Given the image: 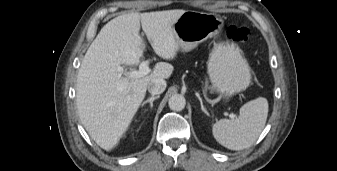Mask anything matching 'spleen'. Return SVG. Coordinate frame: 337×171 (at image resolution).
<instances>
[{
	"instance_id": "spleen-1",
	"label": "spleen",
	"mask_w": 337,
	"mask_h": 171,
	"mask_svg": "<svg viewBox=\"0 0 337 171\" xmlns=\"http://www.w3.org/2000/svg\"><path fill=\"white\" fill-rule=\"evenodd\" d=\"M268 108V101L263 97L245 103L236 119H220L213 125L214 138L230 150L250 147L265 127Z\"/></svg>"
}]
</instances>
